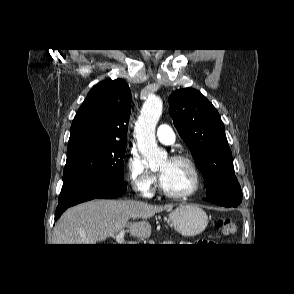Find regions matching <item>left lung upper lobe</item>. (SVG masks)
Segmentation results:
<instances>
[{
	"instance_id": "left-lung-upper-lobe-1",
	"label": "left lung upper lobe",
	"mask_w": 294,
	"mask_h": 294,
	"mask_svg": "<svg viewBox=\"0 0 294 294\" xmlns=\"http://www.w3.org/2000/svg\"><path fill=\"white\" fill-rule=\"evenodd\" d=\"M169 108L203 175L207 197L242 196L225 127L214 106L199 91L184 88L169 96Z\"/></svg>"
}]
</instances>
